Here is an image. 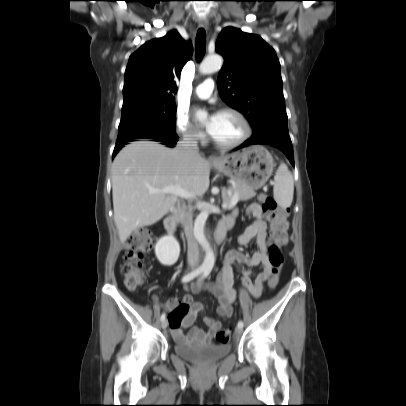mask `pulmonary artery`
<instances>
[{
	"label": "pulmonary artery",
	"instance_id": "1",
	"mask_svg": "<svg viewBox=\"0 0 406 406\" xmlns=\"http://www.w3.org/2000/svg\"><path fill=\"white\" fill-rule=\"evenodd\" d=\"M214 89V81L206 79L194 89V95L200 99H207L210 97Z\"/></svg>",
	"mask_w": 406,
	"mask_h": 406
}]
</instances>
